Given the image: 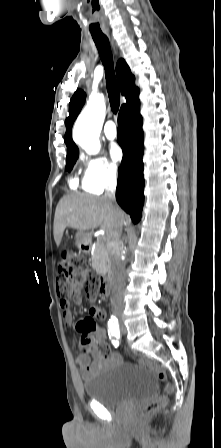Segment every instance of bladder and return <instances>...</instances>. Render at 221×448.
<instances>
[{
	"label": "bladder",
	"mask_w": 221,
	"mask_h": 448,
	"mask_svg": "<svg viewBox=\"0 0 221 448\" xmlns=\"http://www.w3.org/2000/svg\"><path fill=\"white\" fill-rule=\"evenodd\" d=\"M83 387L89 399L106 407H119L154 396L155 378L146 368L115 362L86 379Z\"/></svg>",
	"instance_id": "1"
}]
</instances>
